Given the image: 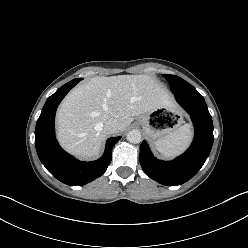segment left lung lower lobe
Wrapping results in <instances>:
<instances>
[{
	"label": "left lung lower lobe",
	"mask_w": 248,
	"mask_h": 248,
	"mask_svg": "<svg viewBox=\"0 0 248 248\" xmlns=\"http://www.w3.org/2000/svg\"><path fill=\"white\" fill-rule=\"evenodd\" d=\"M178 103L190 114L195 137L190 148L173 161L154 158L147 143L140 146V164L155 181L168 186L190 180L203 166L213 145V123L203 96L199 92L175 94Z\"/></svg>",
	"instance_id": "obj_1"
}]
</instances>
